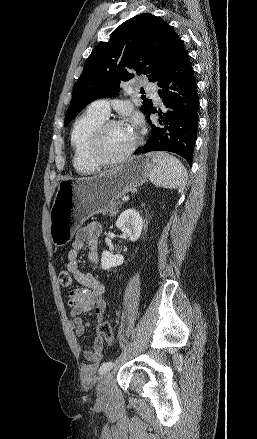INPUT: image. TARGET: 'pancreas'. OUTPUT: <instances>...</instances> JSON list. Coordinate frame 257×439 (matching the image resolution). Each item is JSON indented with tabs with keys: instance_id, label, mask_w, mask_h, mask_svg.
<instances>
[{
	"instance_id": "obj_1",
	"label": "pancreas",
	"mask_w": 257,
	"mask_h": 439,
	"mask_svg": "<svg viewBox=\"0 0 257 439\" xmlns=\"http://www.w3.org/2000/svg\"><path fill=\"white\" fill-rule=\"evenodd\" d=\"M121 206V203L119 201H114L110 203L108 206H106L102 212L103 214H109L110 216H114L117 212L119 207Z\"/></svg>"
}]
</instances>
